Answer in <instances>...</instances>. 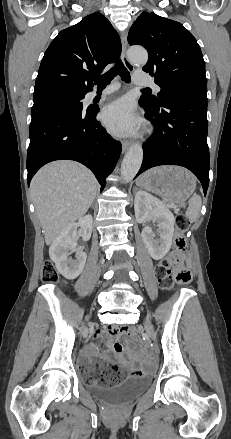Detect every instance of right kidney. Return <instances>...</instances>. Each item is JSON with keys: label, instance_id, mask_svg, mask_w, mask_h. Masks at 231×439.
<instances>
[{"label": "right kidney", "instance_id": "obj_1", "mask_svg": "<svg viewBox=\"0 0 231 439\" xmlns=\"http://www.w3.org/2000/svg\"><path fill=\"white\" fill-rule=\"evenodd\" d=\"M92 222V216L86 215L80 218L77 223L68 225L54 239L49 248L51 260L55 263L59 273L66 279L73 280L83 271L87 255L77 246V228L80 226L83 229L82 238L87 241L91 237ZM71 253H75L74 259L69 257Z\"/></svg>", "mask_w": 231, "mask_h": 439}]
</instances>
